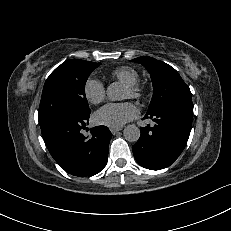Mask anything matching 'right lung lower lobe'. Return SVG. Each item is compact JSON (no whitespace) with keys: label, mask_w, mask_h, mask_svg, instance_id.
I'll return each instance as SVG.
<instances>
[{"label":"right lung lower lobe","mask_w":231,"mask_h":231,"mask_svg":"<svg viewBox=\"0 0 231 231\" xmlns=\"http://www.w3.org/2000/svg\"><path fill=\"white\" fill-rule=\"evenodd\" d=\"M90 114L66 115L41 127L44 141L54 160L69 174L85 177L103 170L107 163L112 134L105 126L91 129V137L81 131Z\"/></svg>","instance_id":"obj_1"}]
</instances>
